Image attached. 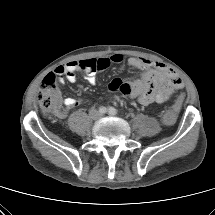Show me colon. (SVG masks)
<instances>
[{
  "label": "colon",
  "instance_id": "colon-1",
  "mask_svg": "<svg viewBox=\"0 0 215 215\" xmlns=\"http://www.w3.org/2000/svg\"><path fill=\"white\" fill-rule=\"evenodd\" d=\"M38 101L43 112L49 115L56 111L60 102V92L56 83V76L52 73L48 74L42 83L41 91L38 94ZM179 103L176 104V108ZM176 114L174 111H167L163 116V123L171 125L175 122Z\"/></svg>",
  "mask_w": 215,
  "mask_h": 215
}]
</instances>
